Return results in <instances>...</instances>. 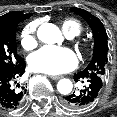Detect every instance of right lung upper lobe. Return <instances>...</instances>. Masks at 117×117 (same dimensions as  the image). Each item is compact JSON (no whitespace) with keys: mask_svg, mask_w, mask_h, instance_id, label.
<instances>
[{"mask_svg":"<svg viewBox=\"0 0 117 117\" xmlns=\"http://www.w3.org/2000/svg\"><path fill=\"white\" fill-rule=\"evenodd\" d=\"M31 16V14H23L21 12H10L7 13L3 16L0 17V25L4 24L6 22H10V21H14V20H25L27 18H29Z\"/></svg>","mask_w":117,"mask_h":117,"instance_id":"1","label":"right lung upper lobe"}]
</instances>
